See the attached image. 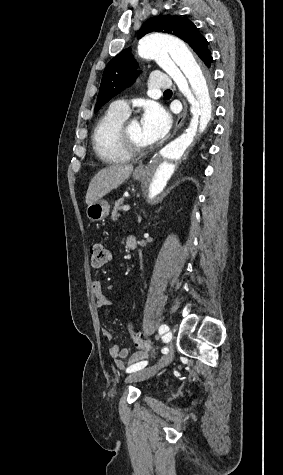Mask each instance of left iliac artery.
<instances>
[{"label":"left iliac artery","mask_w":283,"mask_h":475,"mask_svg":"<svg viewBox=\"0 0 283 475\" xmlns=\"http://www.w3.org/2000/svg\"><path fill=\"white\" fill-rule=\"evenodd\" d=\"M168 330H169V328H168V326L165 325V324H164V325H161V326L159 327V333H160V334H163V333L167 332ZM165 340H167V339L165 338ZM168 341H169V340H167V342H168ZM147 363H148L147 361H142V362L136 363V364L130 366L129 368H127L126 372H127V373H132V372H136V371H138V370H141V369H143V368L147 365Z\"/></svg>","instance_id":"1"}]
</instances>
